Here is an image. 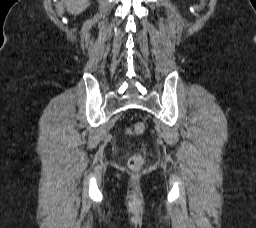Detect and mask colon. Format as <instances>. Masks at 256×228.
<instances>
[{"label":"colon","mask_w":256,"mask_h":228,"mask_svg":"<svg viewBox=\"0 0 256 228\" xmlns=\"http://www.w3.org/2000/svg\"><path fill=\"white\" fill-rule=\"evenodd\" d=\"M145 130V126L142 122L135 123L129 130L128 133L131 135L139 136ZM144 163V157L142 154H135L128 160V166L133 171H138Z\"/></svg>","instance_id":"colon-1"}]
</instances>
